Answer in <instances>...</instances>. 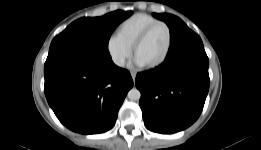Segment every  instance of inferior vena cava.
<instances>
[{"label": "inferior vena cava", "mask_w": 261, "mask_h": 150, "mask_svg": "<svg viewBox=\"0 0 261 150\" xmlns=\"http://www.w3.org/2000/svg\"><path fill=\"white\" fill-rule=\"evenodd\" d=\"M114 62H115L116 65H118V66H120V67H123L124 64H125V61H124L123 58L115 59Z\"/></svg>", "instance_id": "obj_1"}]
</instances>
